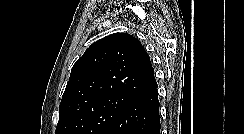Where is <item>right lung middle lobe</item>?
Listing matches in <instances>:
<instances>
[{
    "mask_svg": "<svg viewBox=\"0 0 244 134\" xmlns=\"http://www.w3.org/2000/svg\"><path fill=\"white\" fill-rule=\"evenodd\" d=\"M130 101L127 97L110 96L84 103L59 119L56 134H101Z\"/></svg>",
    "mask_w": 244,
    "mask_h": 134,
    "instance_id": "right-lung-middle-lobe-1",
    "label": "right lung middle lobe"
}]
</instances>
